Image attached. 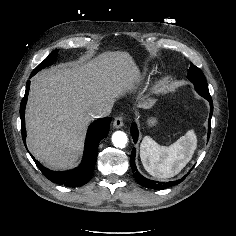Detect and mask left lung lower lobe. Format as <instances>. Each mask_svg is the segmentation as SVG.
Here are the masks:
<instances>
[{
    "label": "left lung lower lobe",
    "mask_w": 236,
    "mask_h": 236,
    "mask_svg": "<svg viewBox=\"0 0 236 236\" xmlns=\"http://www.w3.org/2000/svg\"><path fill=\"white\" fill-rule=\"evenodd\" d=\"M207 100L210 102V115H209V120H208V140L210 137V130H211V117L213 114V103H212V99L211 98H207ZM131 134L133 137L134 142H137V138H138V130L136 127V124H133L131 126ZM135 154H136V150L135 148H133L132 153H131V158H130V165L133 171V175L135 177V179L137 180V182L147 188H153V189H165L171 186H175L178 183L182 182L184 180V178L189 174H187L186 176H184L182 179L176 180V181H171V182H158V181H153V180H149L145 177H143L137 170L136 165H135Z\"/></svg>",
    "instance_id": "left-lung-lower-lobe-1"
}]
</instances>
